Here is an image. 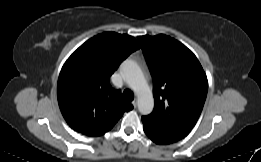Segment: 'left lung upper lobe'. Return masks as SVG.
<instances>
[{
    "label": "left lung upper lobe",
    "instance_id": "obj_1",
    "mask_svg": "<svg viewBox=\"0 0 261 162\" xmlns=\"http://www.w3.org/2000/svg\"><path fill=\"white\" fill-rule=\"evenodd\" d=\"M137 38L153 78L154 110L142 121L162 134L183 139L202 112L208 91L206 74L179 41L163 34Z\"/></svg>",
    "mask_w": 261,
    "mask_h": 162
}]
</instances>
